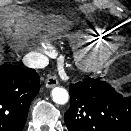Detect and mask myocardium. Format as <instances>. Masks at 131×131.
I'll return each instance as SVG.
<instances>
[{
	"label": "myocardium",
	"instance_id": "myocardium-1",
	"mask_svg": "<svg viewBox=\"0 0 131 131\" xmlns=\"http://www.w3.org/2000/svg\"><path fill=\"white\" fill-rule=\"evenodd\" d=\"M123 46L116 38H107L79 47L74 52L76 66L84 72H92L105 65Z\"/></svg>",
	"mask_w": 131,
	"mask_h": 131
}]
</instances>
